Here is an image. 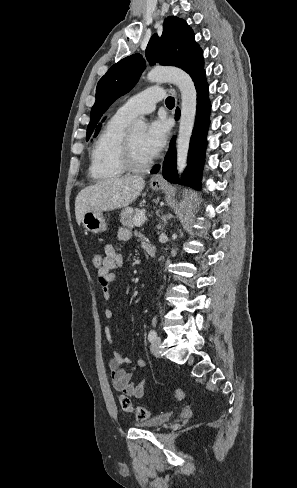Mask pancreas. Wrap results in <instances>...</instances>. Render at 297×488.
<instances>
[{
	"mask_svg": "<svg viewBox=\"0 0 297 488\" xmlns=\"http://www.w3.org/2000/svg\"><path fill=\"white\" fill-rule=\"evenodd\" d=\"M129 207L124 208L120 212V222L123 226L133 227L135 225L134 218L135 215L139 214V211H129Z\"/></svg>",
	"mask_w": 297,
	"mask_h": 488,
	"instance_id": "pancreas-1",
	"label": "pancreas"
}]
</instances>
